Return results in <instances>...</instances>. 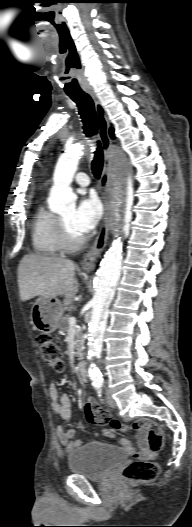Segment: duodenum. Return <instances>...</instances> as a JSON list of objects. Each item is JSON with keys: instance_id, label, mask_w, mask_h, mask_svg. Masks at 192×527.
<instances>
[{"instance_id": "duodenum-1", "label": "duodenum", "mask_w": 192, "mask_h": 527, "mask_svg": "<svg viewBox=\"0 0 192 527\" xmlns=\"http://www.w3.org/2000/svg\"><path fill=\"white\" fill-rule=\"evenodd\" d=\"M78 373L82 380L87 379V370H86V363L84 361L79 362L78 364Z\"/></svg>"}]
</instances>
